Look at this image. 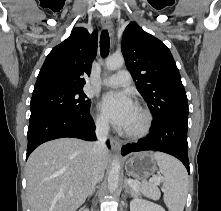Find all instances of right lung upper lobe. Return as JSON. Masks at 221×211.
Masks as SVG:
<instances>
[{
  "label": "right lung upper lobe",
  "instance_id": "obj_1",
  "mask_svg": "<svg viewBox=\"0 0 221 211\" xmlns=\"http://www.w3.org/2000/svg\"><path fill=\"white\" fill-rule=\"evenodd\" d=\"M97 32L74 29L70 36L52 49L39 72L34 91L62 88L83 89L91 63L96 56Z\"/></svg>",
  "mask_w": 221,
  "mask_h": 211
}]
</instances>
